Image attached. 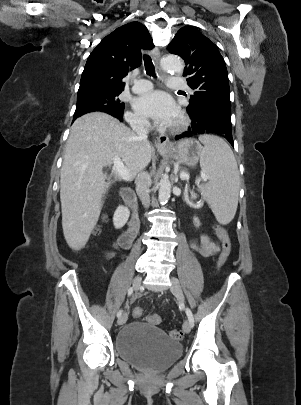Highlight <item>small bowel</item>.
I'll list each match as a JSON object with an SVG mask.
<instances>
[{"mask_svg":"<svg viewBox=\"0 0 301 405\" xmlns=\"http://www.w3.org/2000/svg\"><path fill=\"white\" fill-rule=\"evenodd\" d=\"M121 247H124V246L122 245L121 238H120L119 241L115 244L114 250L111 251V252H109L108 255H107V257H108V258H111V257L115 256L117 250H118L119 248H121ZM191 247H192L194 250L198 251V252H199L202 256H204V257H211V256H214V255H216V254L219 252V250H220L219 245H218L215 241H213V240H212L208 235H206V234L200 235L199 240H198L197 242H193V243L191 244Z\"/></svg>","mask_w":301,"mask_h":405,"instance_id":"small-bowel-1","label":"small bowel"}]
</instances>
